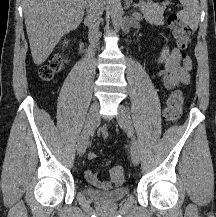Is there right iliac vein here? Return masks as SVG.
Listing matches in <instances>:
<instances>
[{"mask_svg": "<svg viewBox=\"0 0 216 217\" xmlns=\"http://www.w3.org/2000/svg\"><path fill=\"white\" fill-rule=\"evenodd\" d=\"M98 108L99 105L95 101L87 114L84 129L81 133V136L78 140V146H77V151L78 154L81 156L86 152L87 145H88V139L91 134V132L96 128L97 123H98Z\"/></svg>", "mask_w": 216, "mask_h": 217, "instance_id": "obj_1", "label": "right iliac vein"}]
</instances>
